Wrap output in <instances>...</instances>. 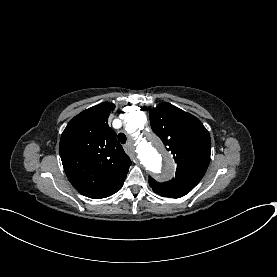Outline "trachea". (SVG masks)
I'll return each instance as SVG.
<instances>
[{"label":"trachea","instance_id":"1","mask_svg":"<svg viewBox=\"0 0 277 277\" xmlns=\"http://www.w3.org/2000/svg\"><path fill=\"white\" fill-rule=\"evenodd\" d=\"M118 140L122 143V144H125L126 141H127V137L124 133H119L118 135Z\"/></svg>","mask_w":277,"mask_h":277}]
</instances>
